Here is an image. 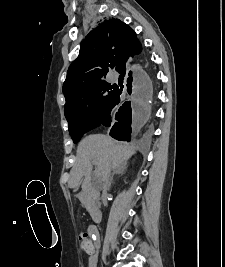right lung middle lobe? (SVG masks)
Listing matches in <instances>:
<instances>
[{
    "label": "right lung middle lobe",
    "mask_w": 225,
    "mask_h": 267,
    "mask_svg": "<svg viewBox=\"0 0 225 267\" xmlns=\"http://www.w3.org/2000/svg\"><path fill=\"white\" fill-rule=\"evenodd\" d=\"M116 92L117 86L104 80L90 84L66 99L64 113L75 143L83 134L99 126Z\"/></svg>",
    "instance_id": "dd1d6c3e"
}]
</instances>
